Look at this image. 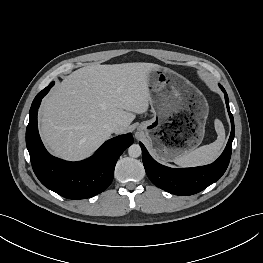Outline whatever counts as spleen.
<instances>
[{
    "mask_svg": "<svg viewBox=\"0 0 263 263\" xmlns=\"http://www.w3.org/2000/svg\"><path fill=\"white\" fill-rule=\"evenodd\" d=\"M217 139L208 145L201 146L183 156L173 160L180 167H196L212 163L221 153L225 143V129L223 123L216 119L214 122Z\"/></svg>",
    "mask_w": 263,
    "mask_h": 263,
    "instance_id": "1",
    "label": "spleen"
}]
</instances>
